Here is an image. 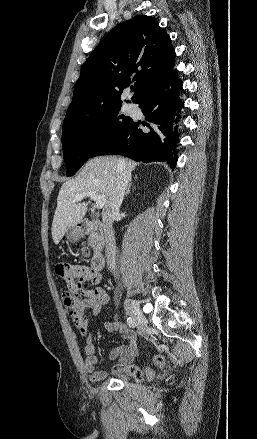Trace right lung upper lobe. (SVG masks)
<instances>
[{
  "mask_svg": "<svg viewBox=\"0 0 257 439\" xmlns=\"http://www.w3.org/2000/svg\"><path fill=\"white\" fill-rule=\"evenodd\" d=\"M175 51L158 22L145 15L117 25L82 67L65 120L122 104V91L135 82L133 103L173 71Z\"/></svg>",
  "mask_w": 257,
  "mask_h": 439,
  "instance_id": "cb5924a9",
  "label": "right lung upper lobe"
}]
</instances>
